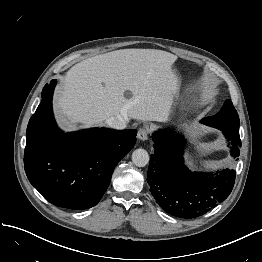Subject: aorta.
Masks as SVG:
<instances>
[{
	"instance_id": "aorta-1",
	"label": "aorta",
	"mask_w": 262,
	"mask_h": 262,
	"mask_svg": "<svg viewBox=\"0 0 262 262\" xmlns=\"http://www.w3.org/2000/svg\"><path fill=\"white\" fill-rule=\"evenodd\" d=\"M132 162L138 167H144L149 162V154L146 150L140 148L132 153Z\"/></svg>"
}]
</instances>
